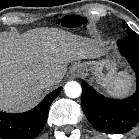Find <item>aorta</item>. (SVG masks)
I'll use <instances>...</instances> for the list:
<instances>
[{
    "instance_id": "obj_1",
    "label": "aorta",
    "mask_w": 139,
    "mask_h": 139,
    "mask_svg": "<svg viewBox=\"0 0 139 139\" xmlns=\"http://www.w3.org/2000/svg\"><path fill=\"white\" fill-rule=\"evenodd\" d=\"M64 91L69 98H77L81 95L82 88L78 82L70 81L65 84Z\"/></svg>"
}]
</instances>
